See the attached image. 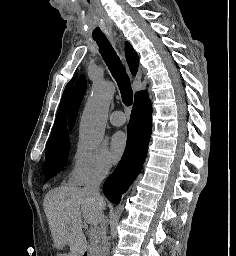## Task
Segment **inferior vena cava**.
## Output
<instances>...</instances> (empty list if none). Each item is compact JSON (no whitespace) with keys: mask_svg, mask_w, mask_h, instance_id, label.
<instances>
[{"mask_svg":"<svg viewBox=\"0 0 236 256\" xmlns=\"http://www.w3.org/2000/svg\"><path fill=\"white\" fill-rule=\"evenodd\" d=\"M105 176H106L105 168H95V170H91L90 180H88L85 188H83L86 194H90L92 198H95V200H97L98 208H102V204H103V198L102 196H100L99 188ZM101 240H102V256H109L110 254L109 238L106 234L104 220L101 226Z\"/></svg>","mask_w":236,"mask_h":256,"instance_id":"1","label":"inferior vena cava"}]
</instances>
